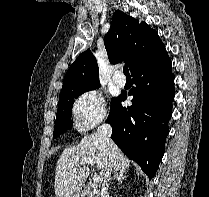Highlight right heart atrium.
I'll return each instance as SVG.
<instances>
[{"mask_svg": "<svg viewBox=\"0 0 209 197\" xmlns=\"http://www.w3.org/2000/svg\"><path fill=\"white\" fill-rule=\"evenodd\" d=\"M72 111L78 128L87 131L106 117L104 95L95 89L87 90L75 100Z\"/></svg>", "mask_w": 209, "mask_h": 197, "instance_id": "1", "label": "right heart atrium"}]
</instances>
